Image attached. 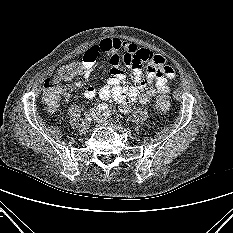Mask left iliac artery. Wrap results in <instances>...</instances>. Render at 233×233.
Masks as SVG:
<instances>
[{"label":"left iliac artery","instance_id":"left-iliac-artery-1","mask_svg":"<svg viewBox=\"0 0 233 233\" xmlns=\"http://www.w3.org/2000/svg\"><path fill=\"white\" fill-rule=\"evenodd\" d=\"M111 116V111L110 110H107L105 113H104V117L105 118H108Z\"/></svg>","mask_w":233,"mask_h":233}]
</instances>
